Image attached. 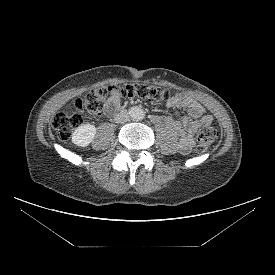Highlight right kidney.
Segmentation results:
<instances>
[{
	"label": "right kidney",
	"instance_id": "ca27d5eb",
	"mask_svg": "<svg viewBox=\"0 0 275 275\" xmlns=\"http://www.w3.org/2000/svg\"><path fill=\"white\" fill-rule=\"evenodd\" d=\"M95 134L96 127L94 125H81L72 134V142L79 147H86L93 141Z\"/></svg>",
	"mask_w": 275,
	"mask_h": 275
}]
</instances>
